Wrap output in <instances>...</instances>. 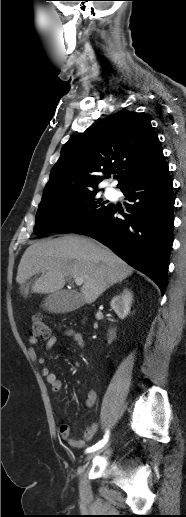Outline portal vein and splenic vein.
<instances>
[{"mask_svg":"<svg viewBox=\"0 0 186 517\" xmlns=\"http://www.w3.org/2000/svg\"><path fill=\"white\" fill-rule=\"evenodd\" d=\"M76 285H82L83 284V278L77 277L74 279Z\"/></svg>","mask_w":186,"mask_h":517,"instance_id":"portal-vein-and-splenic-vein-1","label":"portal vein and splenic vein"}]
</instances>
